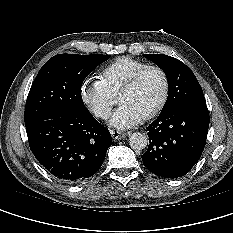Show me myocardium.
Wrapping results in <instances>:
<instances>
[{
    "label": "myocardium",
    "mask_w": 233,
    "mask_h": 233,
    "mask_svg": "<svg viewBox=\"0 0 233 233\" xmlns=\"http://www.w3.org/2000/svg\"><path fill=\"white\" fill-rule=\"evenodd\" d=\"M150 70H155L161 74L163 81H164V89H163V94H162L160 100L158 101V103L148 113H146L142 117L143 120H149V119H152L153 117H155L163 109V107L165 106V104L168 100V97L170 94L171 83H170L169 75L166 72V70L158 65H147V66L139 69L138 71H136L127 80V82L121 88L120 93H119V95H120L122 93H126V92L131 91L136 86V84L139 82L141 77L146 72H148Z\"/></svg>",
    "instance_id": "f54148a6"
}]
</instances>
